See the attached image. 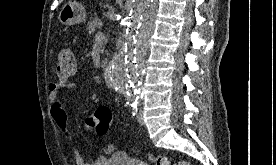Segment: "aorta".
Instances as JSON below:
<instances>
[{
	"label": "aorta",
	"instance_id": "1",
	"mask_svg": "<svg viewBox=\"0 0 276 165\" xmlns=\"http://www.w3.org/2000/svg\"><path fill=\"white\" fill-rule=\"evenodd\" d=\"M132 10L122 47L108 65L110 84L124 91L130 101L141 97L144 56L155 29L157 0H132Z\"/></svg>",
	"mask_w": 276,
	"mask_h": 165
}]
</instances>
